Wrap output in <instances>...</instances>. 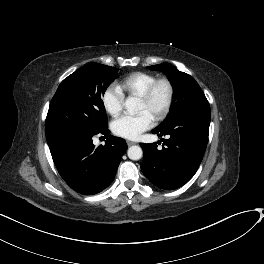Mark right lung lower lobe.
Masks as SVG:
<instances>
[{
  "instance_id": "98d812e1",
  "label": "right lung lower lobe",
  "mask_w": 264,
  "mask_h": 264,
  "mask_svg": "<svg viewBox=\"0 0 264 264\" xmlns=\"http://www.w3.org/2000/svg\"><path fill=\"white\" fill-rule=\"evenodd\" d=\"M98 133L107 137L108 126ZM98 133L70 130L46 136L59 174L73 190L85 195L99 193L110 185L127 150L124 139L111 135L104 146L95 147L92 137Z\"/></svg>"
}]
</instances>
